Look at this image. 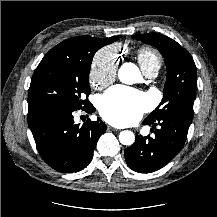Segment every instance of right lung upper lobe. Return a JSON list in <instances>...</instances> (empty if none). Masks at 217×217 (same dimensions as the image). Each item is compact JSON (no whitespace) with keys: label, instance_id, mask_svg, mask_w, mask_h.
Here are the masks:
<instances>
[{"label":"right lung upper lobe","instance_id":"right-lung-upper-lobe-1","mask_svg":"<svg viewBox=\"0 0 217 217\" xmlns=\"http://www.w3.org/2000/svg\"><path fill=\"white\" fill-rule=\"evenodd\" d=\"M118 38H119L118 36H114L111 38H105V39L89 37V36L72 37V38L64 40L63 42H61L55 47L57 48H79L83 46L86 42L93 41L94 43L99 45L101 48L105 45H108V44H111L117 41Z\"/></svg>","mask_w":217,"mask_h":217}]
</instances>
